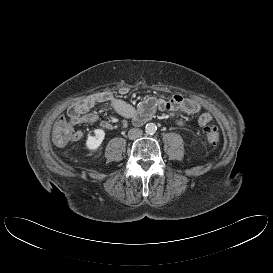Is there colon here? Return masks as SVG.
<instances>
[{"instance_id":"5ec220e1","label":"colon","mask_w":273,"mask_h":273,"mask_svg":"<svg viewBox=\"0 0 273 273\" xmlns=\"http://www.w3.org/2000/svg\"><path fill=\"white\" fill-rule=\"evenodd\" d=\"M204 133L207 140L211 144H218L220 142V134L218 129L213 125L204 127ZM75 138L72 124L64 117L59 116L54 124L53 140L57 145H64Z\"/></svg>"}]
</instances>
